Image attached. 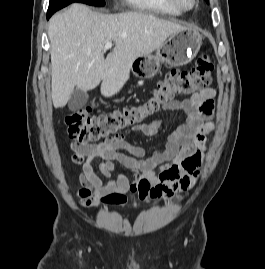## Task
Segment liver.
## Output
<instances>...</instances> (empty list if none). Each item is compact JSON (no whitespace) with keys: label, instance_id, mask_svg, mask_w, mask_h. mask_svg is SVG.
Segmentation results:
<instances>
[{"label":"liver","instance_id":"liver-1","mask_svg":"<svg viewBox=\"0 0 265 269\" xmlns=\"http://www.w3.org/2000/svg\"><path fill=\"white\" fill-rule=\"evenodd\" d=\"M176 22L143 12L102 14L83 4H72L49 21L52 100L64 107L73 90L83 92L101 83V94L111 97L129 79L132 62L157 50L175 32ZM115 47L104 58V46Z\"/></svg>","mask_w":265,"mask_h":269}]
</instances>
